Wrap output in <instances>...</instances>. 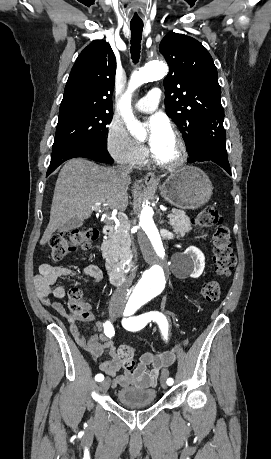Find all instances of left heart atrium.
Here are the masks:
<instances>
[{"label": "left heart atrium", "mask_w": 271, "mask_h": 459, "mask_svg": "<svg viewBox=\"0 0 271 459\" xmlns=\"http://www.w3.org/2000/svg\"><path fill=\"white\" fill-rule=\"evenodd\" d=\"M148 142L150 148H153L163 136L167 135L169 130L168 122L161 116H153L149 119Z\"/></svg>", "instance_id": "left-heart-atrium-1"}]
</instances>
